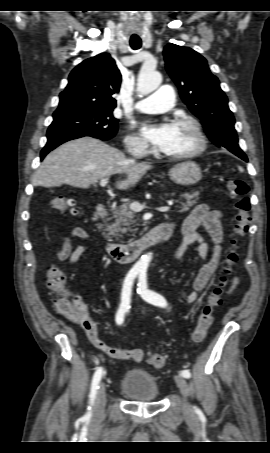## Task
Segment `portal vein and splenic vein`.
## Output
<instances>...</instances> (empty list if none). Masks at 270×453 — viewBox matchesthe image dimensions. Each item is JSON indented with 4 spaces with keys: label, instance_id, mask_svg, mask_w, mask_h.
Returning <instances> with one entry per match:
<instances>
[{
    "label": "portal vein and splenic vein",
    "instance_id": "portal-vein-and-splenic-vein-1",
    "mask_svg": "<svg viewBox=\"0 0 270 453\" xmlns=\"http://www.w3.org/2000/svg\"><path fill=\"white\" fill-rule=\"evenodd\" d=\"M108 183V179L107 178H103L100 180V186L104 187L106 186V184ZM173 204L172 201H169L168 202V205L169 206H163V207H160V208H157L158 211L160 212H165V211H168L170 209V206ZM145 208L144 205L138 203V202H134L130 205V209L134 212H140L142 211L143 209Z\"/></svg>",
    "mask_w": 270,
    "mask_h": 453
}]
</instances>
